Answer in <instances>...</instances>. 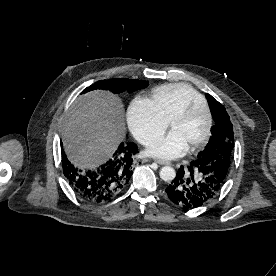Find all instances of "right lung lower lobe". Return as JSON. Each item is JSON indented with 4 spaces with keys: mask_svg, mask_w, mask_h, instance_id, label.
<instances>
[{
    "mask_svg": "<svg viewBox=\"0 0 276 276\" xmlns=\"http://www.w3.org/2000/svg\"><path fill=\"white\" fill-rule=\"evenodd\" d=\"M136 144L121 143L106 163L93 170L75 168L62 150L64 175L77 195L88 202L102 203L111 200L128 185L133 174V156Z\"/></svg>",
    "mask_w": 276,
    "mask_h": 276,
    "instance_id": "1",
    "label": "right lung lower lobe"
}]
</instances>
